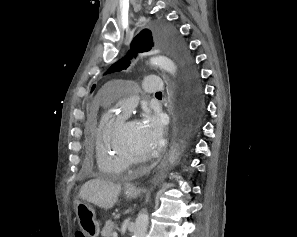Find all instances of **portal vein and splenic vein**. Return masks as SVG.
<instances>
[{
    "label": "portal vein and splenic vein",
    "instance_id": "obj_1",
    "mask_svg": "<svg viewBox=\"0 0 297 237\" xmlns=\"http://www.w3.org/2000/svg\"><path fill=\"white\" fill-rule=\"evenodd\" d=\"M113 237H118V234L116 232H114Z\"/></svg>",
    "mask_w": 297,
    "mask_h": 237
}]
</instances>
